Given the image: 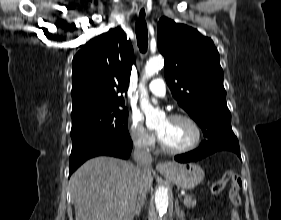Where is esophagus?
Here are the masks:
<instances>
[{
    "instance_id": "esophagus-1",
    "label": "esophagus",
    "mask_w": 281,
    "mask_h": 220,
    "mask_svg": "<svg viewBox=\"0 0 281 220\" xmlns=\"http://www.w3.org/2000/svg\"><path fill=\"white\" fill-rule=\"evenodd\" d=\"M137 15L141 20L145 19L147 16L146 8L143 6L139 7L137 10ZM172 167H173L172 163L168 161L160 162L156 165L157 171L161 173L169 172L172 169Z\"/></svg>"
}]
</instances>
